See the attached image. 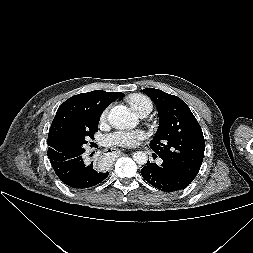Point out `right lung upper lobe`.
Segmentation results:
<instances>
[{"instance_id":"right-lung-upper-lobe-1","label":"right lung upper lobe","mask_w":253,"mask_h":253,"mask_svg":"<svg viewBox=\"0 0 253 253\" xmlns=\"http://www.w3.org/2000/svg\"><path fill=\"white\" fill-rule=\"evenodd\" d=\"M122 92L95 90L74 95L60 105L48 135V152L57 151L59 141L72 134L93 128L103 110L119 98Z\"/></svg>"}]
</instances>
